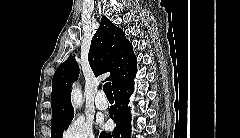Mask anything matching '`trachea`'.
I'll return each instance as SVG.
<instances>
[{
  "instance_id": "1",
  "label": "trachea",
  "mask_w": 240,
  "mask_h": 138,
  "mask_svg": "<svg viewBox=\"0 0 240 138\" xmlns=\"http://www.w3.org/2000/svg\"><path fill=\"white\" fill-rule=\"evenodd\" d=\"M104 93L106 94L107 98H113L111 84L109 82L105 83L103 86Z\"/></svg>"
}]
</instances>
